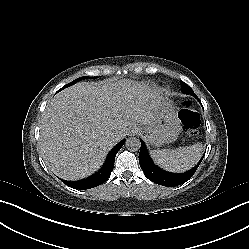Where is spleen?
Here are the masks:
<instances>
[{
    "instance_id": "1",
    "label": "spleen",
    "mask_w": 249,
    "mask_h": 249,
    "mask_svg": "<svg viewBox=\"0 0 249 249\" xmlns=\"http://www.w3.org/2000/svg\"><path fill=\"white\" fill-rule=\"evenodd\" d=\"M203 149L204 146L199 145L197 147H187L166 152L161 150H153L151 152V157L159 167L173 172L176 171V169L178 170L180 167H183L181 163H184V166H189L190 168L194 167V165L200 160Z\"/></svg>"
}]
</instances>
